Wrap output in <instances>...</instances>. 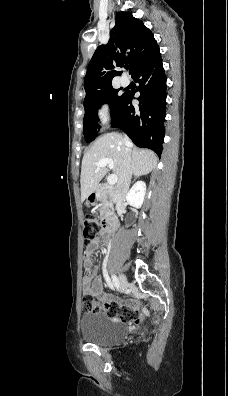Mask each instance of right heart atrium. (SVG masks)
I'll use <instances>...</instances> for the list:
<instances>
[{"label": "right heart atrium", "instance_id": "obj_1", "mask_svg": "<svg viewBox=\"0 0 228 396\" xmlns=\"http://www.w3.org/2000/svg\"><path fill=\"white\" fill-rule=\"evenodd\" d=\"M99 124H107L112 116L111 106L108 102H103L99 105L96 111Z\"/></svg>", "mask_w": 228, "mask_h": 396}]
</instances>
